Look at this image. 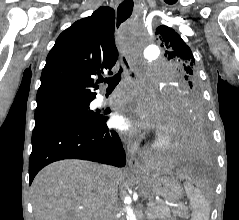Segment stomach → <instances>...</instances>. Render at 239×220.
Masks as SVG:
<instances>
[{"label":"stomach","mask_w":239,"mask_h":220,"mask_svg":"<svg viewBox=\"0 0 239 220\" xmlns=\"http://www.w3.org/2000/svg\"><path fill=\"white\" fill-rule=\"evenodd\" d=\"M141 186H150V191L154 195L161 196L168 201L175 202L182 198V185L175 178H153V183H141ZM169 210H178V205H169ZM182 212H167V220H180Z\"/></svg>","instance_id":"stomach-1"}]
</instances>
